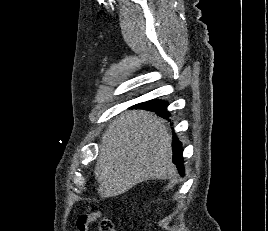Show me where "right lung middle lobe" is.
Returning a JSON list of instances; mask_svg holds the SVG:
<instances>
[{"label": "right lung middle lobe", "instance_id": "right-lung-middle-lobe-1", "mask_svg": "<svg viewBox=\"0 0 268 231\" xmlns=\"http://www.w3.org/2000/svg\"><path fill=\"white\" fill-rule=\"evenodd\" d=\"M153 101H159V102H163V103H166V102H164V101H161V100H153Z\"/></svg>", "mask_w": 268, "mask_h": 231}]
</instances>
